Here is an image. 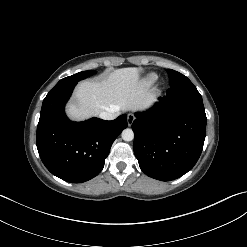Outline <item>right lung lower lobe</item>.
I'll list each match as a JSON object with an SVG mask.
<instances>
[{"label":"right lung lower lobe","instance_id":"1","mask_svg":"<svg viewBox=\"0 0 247 247\" xmlns=\"http://www.w3.org/2000/svg\"><path fill=\"white\" fill-rule=\"evenodd\" d=\"M77 82L57 83L45 97L36 145L46 168L60 179L82 183L104 167L114 140L127 127L126 114L112 121L92 118L70 121L64 112Z\"/></svg>","mask_w":247,"mask_h":247}]
</instances>
